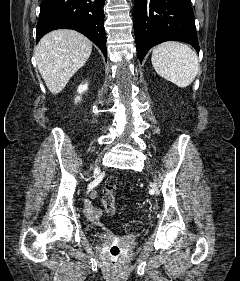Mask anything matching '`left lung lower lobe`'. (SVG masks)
Masks as SVG:
<instances>
[{"label": "left lung lower lobe", "instance_id": "0a47b994", "mask_svg": "<svg viewBox=\"0 0 240 281\" xmlns=\"http://www.w3.org/2000/svg\"><path fill=\"white\" fill-rule=\"evenodd\" d=\"M133 20L140 61L151 47L170 40L189 43L199 52L190 0H135Z\"/></svg>", "mask_w": 240, "mask_h": 281}]
</instances>
